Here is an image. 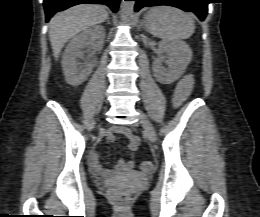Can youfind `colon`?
Instances as JSON below:
<instances>
[{"label": "colon", "instance_id": "1", "mask_svg": "<svg viewBox=\"0 0 260 217\" xmlns=\"http://www.w3.org/2000/svg\"><path fill=\"white\" fill-rule=\"evenodd\" d=\"M141 170L144 172H149L152 170V164L150 162H142ZM113 198L116 201L117 204L124 206L129 201V195L126 192L123 191H113L112 192Z\"/></svg>", "mask_w": 260, "mask_h": 217}]
</instances>
